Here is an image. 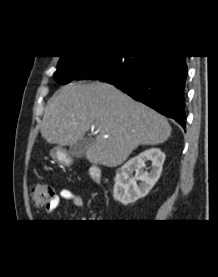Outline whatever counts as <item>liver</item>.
Instances as JSON below:
<instances>
[{
	"label": "liver",
	"instance_id": "obj_1",
	"mask_svg": "<svg viewBox=\"0 0 218 277\" xmlns=\"http://www.w3.org/2000/svg\"><path fill=\"white\" fill-rule=\"evenodd\" d=\"M94 126L98 134L86 151L92 164L121 165L139 145L165 142V117L114 86L92 82L62 87L48 101L41 134L49 144L71 146Z\"/></svg>",
	"mask_w": 218,
	"mask_h": 277
}]
</instances>
